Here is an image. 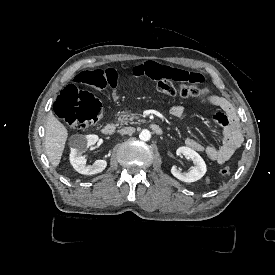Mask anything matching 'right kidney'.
<instances>
[{"label":"right kidney","mask_w":275,"mask_h":275,"mask_svg":"<svg viewBox=\"0 0 275 275\" xmlns=\"http://www.w3.org/2000/svg\"><path fill=\"white\" fill-rule=\"evenodd\" d=\"M98 136L94 134L82 135L75 134L69 139L70 146V163L73 168L81 174L93 175L102 172L107 162L105 160H96L92 165H86V158L82 156V153L91 145H94L98 141Z\"/></svg>","instance_id":"right-kidney-1"}]
</instances>
